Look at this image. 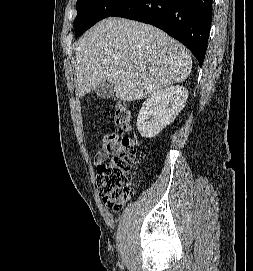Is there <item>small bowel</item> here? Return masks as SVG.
<instances>
[{"label": "small bowel", "mask_w": 253, "mask_h": 271, "mask_svg": "<svg viewBox=\"0 0 253 271\" xmlns=\"http://www.w3.org/2000/svg\"><path fill=\"white\" fill-rule=\"evenodd\" d=\"M102 145V149L97 152L95 157L96 164L99 163L108 154L118 153L123 149L116 134L105 135L102 139Z\"/></svg>", "instance_id": "c3829d8e"}]
</instances>
